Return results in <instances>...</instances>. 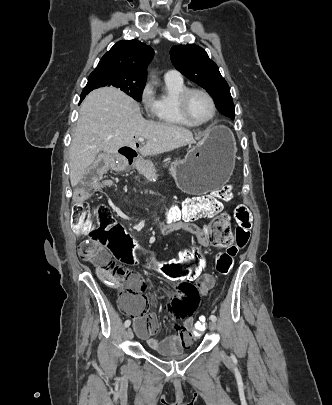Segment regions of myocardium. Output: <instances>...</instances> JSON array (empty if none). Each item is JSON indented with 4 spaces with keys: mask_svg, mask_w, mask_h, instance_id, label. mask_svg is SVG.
<instances>
[{
    "mask_svg": "<svg viewBox=\"0 0 332 405\" xmlns=\"http://www.w3.org/2000/svg\"><path fill=\"white\" fill-rule=\"evenodd\" d=\"M193 93H201L204 96H206L209 101L211 102L212 105V113L210 115V117L204 121H195L191 118V116L189 115L188 112V99L190 97L191 94ZM177 104H178V110L179 113L181 115V117L188 122L189 124H191L192 126H204L207 125L209 123H211L216 114H217V104L215 102L214 97L205 89L203 88H197V87H192V88H186L185 90H183L177 99Z\"/></svg>",
    "mask_w": 332,
    "mask_h": 405,
    "instance_id": "myocardium-1",
    "label": "myocardium"
}]
</instances>
